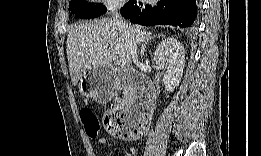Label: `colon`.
<instances>
[{
	"instance_id": "obj_1",
	"label": "colon",
	"mask_w": 261,
	"mask_h": 156,
	"mask_svg": "<svg viewBox=\"0 0 261 156\" xmlns=\"http://www.w3.org/2000/svg\"><path fill=\"white\" fill-rule=\"evenodd\" d=\"M81 121L86 133L91 140H95L100 132V124L93 112L85 108L80 112ZM106 131L112 136L126 139H133L142 136L146 131L144 123L129 124L124 114L116 109L106 112L103 120Z\"/></svg>"
}]
</instances>
